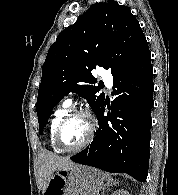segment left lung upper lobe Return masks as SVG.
Returning <instances> with one entry per match:
<instances>
[{
    "mask_svg": "<svg viewBox=\"0 0 178 195\" xmlns=\"http://www.w3.org/2000/svg\"><path fill=\"white\" fill-rule=\"evenodd\" d=\"M148 51L145 35L128 7L112 0L92 5L48 50L36 108L39 133L51 110L71 91L85 98L97 115L105 97L97 95L91 71L97 66L111 69L114 78Z\"/></svg>",
    "mask_w": 178,
    "mask_h": 195,
    "instance_id": "obj_1",
    "label": "left lung upper lobe"
}]
</instances>
